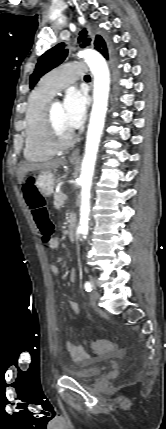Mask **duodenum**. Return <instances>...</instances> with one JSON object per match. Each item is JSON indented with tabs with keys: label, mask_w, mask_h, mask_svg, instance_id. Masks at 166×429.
<instances>
[{
	"label": "duodenum",
	"mask_w": 166,
	"mask_h": 429,
	"mask_svg": "<svg viewBox=\"0 0 166 429\" xmlns=\"http://www.w3.org/2000/svg\"><path fill=\"white\" fill-rule=\"evenodd\" d=\"M76 229H77V219L74 214H71L69 216V226H68V237L70 241H73L75 239Z\"/></svg>",
	"instance_id": "duodenum-1"
}]
</instances>
